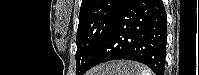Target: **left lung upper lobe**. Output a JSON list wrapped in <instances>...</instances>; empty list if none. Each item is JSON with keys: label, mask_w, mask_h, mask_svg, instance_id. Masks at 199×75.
I'll return each mask as SVG.
<instances>
[{"label": "left lung upper lobe", "mask_w": 199, "mask_h": 75, "mask_svg": "<svg viewBox=\"0 0 199 75\" xmlns=\"http://www.w3.org/2000/svg\"><path fill=\"white\" fill-rule=\"evenodd\" d=\"M125 0H82L76 36V75L84 74L108 37Z\"/></svg>", "instance_id": "1"}]
</instances>
